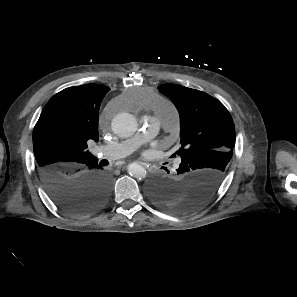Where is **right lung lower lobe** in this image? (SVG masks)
<instances>
[{
  "instance_id": "1",
  "label": "right lung lower lobe",
  "mask_w": 297,
  "mask_h": 297,
  "mask_svg": "<svg viewBox=\"0 0 297 297\" xmlns=\"http://www.w3.org/2000/svg\"><path fill=\"white\" fill-rule=\"evenodd\" d=\"M40 180L56 205L70 214H90L109 198L110 179L98 160L78 167L38 169Z\"/></svg>"
}]
</instances>
